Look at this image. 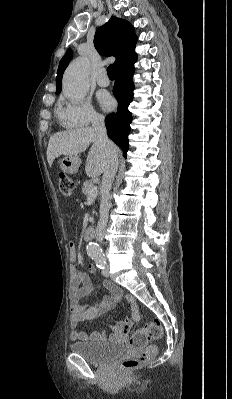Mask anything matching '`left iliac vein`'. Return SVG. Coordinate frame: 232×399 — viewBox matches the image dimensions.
<instances>
[{"label":"left iliac vein","instance_id":"obj_1","mask_svg":"<svg viewBox=\"0 0 232 399\" xmlns=\"http://www.w3.org/2000/svg\"><path fill=\"white\" fill-rule=\"evenodd\" d=\"M102 276L105 278V279H108L109 277H110V272L108 271V269H106V268H103L102 269Z\"/></svg>","mask_w":232,"mask_h":399}]
</instances>
